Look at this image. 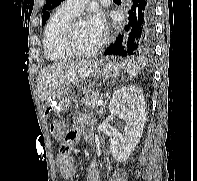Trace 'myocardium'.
Segmentation results:
<instances>
[{
    "label": "myocardium",
    "mask_w": 197,
    "mask_h": 181,
    "mask_svg": "<svg viewBox=\"0 0 197 181\" xmlns=\"http://www.w3.org/2000/svg\"><path fill=\"white\" fill-rule=\"evenodd\" d=\"M83 21H85V19L81 16L74 17L69 22L64 32L63 41H62L63 48L73 58L93 57L102 50V48L106 43V37L105 35H102L101 41L95 48L87 51L78 49L75 44V32L78 24Z\"/></svg>",
    "instance_id": "myocardium-1"
}]
</instances>
